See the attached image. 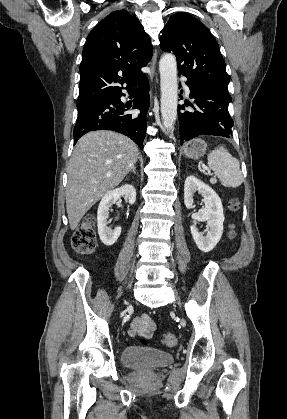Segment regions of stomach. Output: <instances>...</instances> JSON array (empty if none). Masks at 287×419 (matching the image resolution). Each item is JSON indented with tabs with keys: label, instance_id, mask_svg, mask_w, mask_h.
<instances>
[{
	"label": "stomach",
	"instance_id": "0dacf381",
	"mask_svg": "<svg viewBox=\"0 0 287 419\" xmlns=\"http://www.w3.org/2000/svg\"><path fill=\"white\" fill-rule=\"evenodd\" d=\"M207 149V144L204 140L195 138L187 142L184 147L183 151L184 154L191 159H198L202 157Z\"/></svg>",
	"mask_w": 287,
	"mask_h": 419
}]
</instances>
